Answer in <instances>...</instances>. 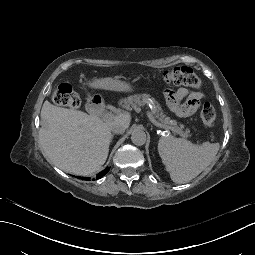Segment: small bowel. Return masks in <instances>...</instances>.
<instances>
[{
  "label": "small bowel",
  "instance_id": "small-bowel-1",
  "mask_svg": "<svg viewBox=\"0 0 255 255\" xmlns=\"http://www.w3.org/2000/svg\"><path fill=\"white\" fill-rule=\"evenodd\" d=\"M176 96L180 99H185V103L177 111V114L182 117L192 115L199 107L202 94L196 91H190L181 88L177 91Z\"/></svg>",
  "mask_w": 255,
  "mask_h": 255
}]
</instances>
